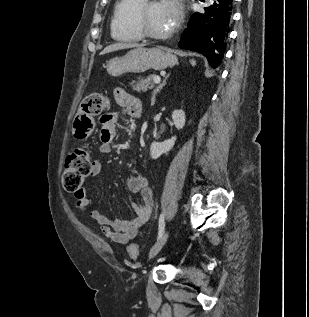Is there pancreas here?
Instances as JSON below:
<instances>
[{
	"label": "pancreas",
	"mask_w": 309,
	"mask_h": 317,
	"mask_svg": "<svg viewBox=\"0 0 309 317\" xmlns=\"http://www.w3.org/2000/svg\"><path fill=\"white\" fill-rule=\"evenodd\" d=\"M156 75H150L146 78H138L137 81L131 83L132 89L138 93L154 87V78Z\"/></svg>",
	"instance_id": "pancreas-1"
}]
</instances>
